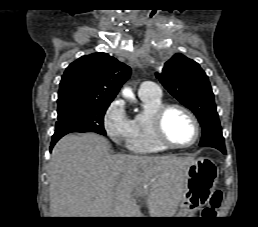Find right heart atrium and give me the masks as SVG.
I'll return each instance as SVG.
<instances>
[{
    "mask_svg": "<svg viewBox=\"0 0 258 227\" xmlns=\"http://www.w3.org/2000/svg\"><path fill=\"white\" fill-rule=\"evenodd\" d=\"M103 127L108 137L120 144L128 141L131 133V119L128 117L122 100L111 102L103 117Z\"/></svg>",
    "mask_w": 258,
    "mask_h": 227,
    "instance_id": "obj_1",
    "label": "right heart atrium"
}]
</instances>
